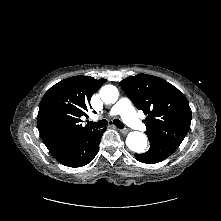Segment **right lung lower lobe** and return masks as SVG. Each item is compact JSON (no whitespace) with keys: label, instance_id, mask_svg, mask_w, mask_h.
Returning a JSON list of instances; mask_svg holds the SVG:
<instances>
[{"label":"right lung lower lobe","instance_id":"right-lung-lower-lobe-1","mask_svg":"<svg viewBox=\"0 0 221 221\" xmlns=\"http://www.w3.org/2000/svg\"><path fill=\"white\" fill-rule=\"evenodd\" d=\"M102 130L87 131L59 149L51 152L61 164L68 167H81L91 162L99 150Z\"/></svg>","mask_w":221,"mask_h":221}]
</instances>
